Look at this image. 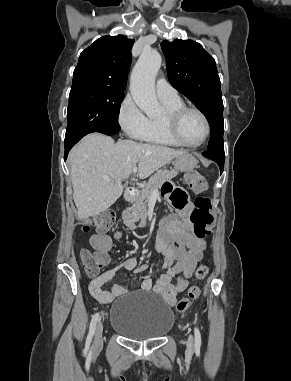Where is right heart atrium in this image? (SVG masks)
<instances>
[{
	"label": "right heart atrium",
	"mask_w": 291,
	"mask_h": 381,
	"mask_svg": "<svg viewBox=\"0 0 291 381\" xmlns=\"http://www.w3.org/2000/svg\"><path fill=\"white\" fill-rule=\"evenodd\" d=\"M117 118L119 125L127 136L133 139L143 137L148 118L130 95H127L120 103Z\"/></svg>",
	"instance_id": "1"
}]
</instances>
